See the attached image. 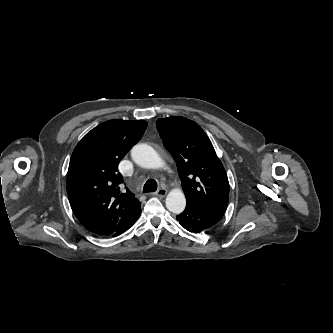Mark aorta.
I'll use <instances>...</instances> for the list:
<instances>
[{
    "label": "aorta",
    "instance_id": "obj_1",
    "mask_svg": "<svg viewBox=\"0 0 333 333\" xmlns=\"http://www.w3.org/2000/svg\"><path fill=\"white\" fill-rule=\"evenodd\" d=\"M133 161L144 168L158 169L164 163L158 153L147 144H137L131 150ZM166 207L169 211L179 214L186 206L184 193L180 189H173L166 197Z\"/></svg>",
    "mask_w": 333,
    "mask_h": 333
}]
</instances>
